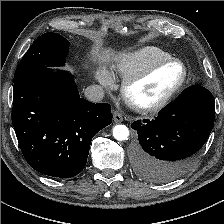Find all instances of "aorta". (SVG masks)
Wrapping results in <instances>:
<instances>
[{"instance_id": "aorta-1", "label": "aorta", "mask_w": 224, "mask_h": 224, "mask_svg": "<svg viewBox=\"0 0 224 224\" xmlns=\"http://www.w3.org/2000/svg\"><path fill=\"white\" fill-rule=\"evenodd\" d=\"M113 137L118 141L128 140L129 130L125 125H116L113 128Z\"/></svg>"}]
</instances>
